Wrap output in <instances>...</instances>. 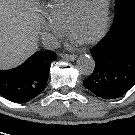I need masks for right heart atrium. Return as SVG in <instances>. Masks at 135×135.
Here are the masks:
<instances>
[{"mask_svg": "<svg viewBox=\"0 0 135 135\" xmlns=\"http://www.w3.org/2000/svg\"><path fill=\"white\" fill-rule=\"evenodd\" d=\"M42 28L52 40H58L62 36V30L51 20H43Z\"/></svg>", "mask_w": 135, "mask_h": 135, "instance_id": "right-heart-atrium-1", "label": "right heart atrium"}]
</instances>
